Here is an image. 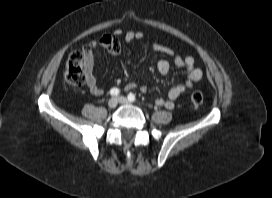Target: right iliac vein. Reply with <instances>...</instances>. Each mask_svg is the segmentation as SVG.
Segmentation results:
<instances>
[{
    "instance_id": "right-iliac-vein-1",
    "label": "right iliac vein",
    "mask_w": 272,
    "mask_h": 198,
    "mask_svg": "<svg viewBox=\"0 0 272 198\" xmlns=\"http://www.w3.org/2000/svg\"><path fill=\"white\" fill-rule=\"evenodd\" d=\"M118 105V100L117 98L113 97L108 101V106L110 108H115Z\"/></svg>"
}]
</instances>
